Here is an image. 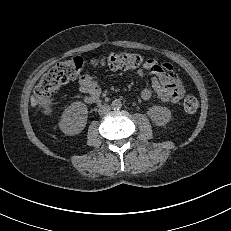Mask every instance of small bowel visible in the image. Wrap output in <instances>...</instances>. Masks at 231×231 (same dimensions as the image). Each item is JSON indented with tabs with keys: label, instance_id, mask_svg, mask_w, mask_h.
I'll list each match as a JSON object with an SVG mask.
<instances>
[{
	"label": "small bowel",
	"instance_id": "obj_1",
	"mask_svg": "<svg viewBox=\"0 0 231 231\" xmlns=\"http://www.w3.org/2000/svg\"><path fill=\"white\" fill-rule=\"evenodd\" d=\"M141 77L151 78V88L141 91V98L149 100L156 93L162 103H176L184 96V87L175 73L173 66L155 59L146 60L139 69ZM79 89L88 96L99 97L101 88L93 75H82L79 78Z\"/></svg>",
	"mask_w": 231,
	"mask_h": 231
}]
</instances>
